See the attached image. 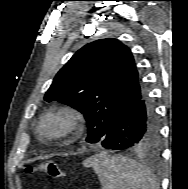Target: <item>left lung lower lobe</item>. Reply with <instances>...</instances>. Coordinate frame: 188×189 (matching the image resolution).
<instances>
[{
    "instance_id": "obj_1",
    "label": "left lung lower lobe",
    "mask_w": 188,
    "mask_h": 189,
    "mask_svg": "<svg viewBox=\"0 0 188 189\" xmlns=\"http://www.w3.org/2000/svg\"><path fill=\"white\" fill-rule=\"evenodd\" d=\"M158 138V122L153 104L144 92L116 121L100 141L113 150H134Z\"/></svg>"
}]
</instances>
